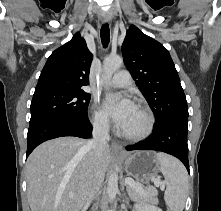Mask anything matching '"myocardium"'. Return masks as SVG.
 <instances>
[{
	"label": "myocardium",
	"mask_w": 221,
	"mask_h": 211,
	"mask_svg": "<svg viewBox=\"0 0 221 211\" xmlns=\"http://www.w3.org/2000/svg\"><path fill=\"white\" fill-rule=\"evenodd\" d=\"M135 106L139 108L146 116V126L144 130L138 134H128L121 130L120 135L129 141L138 142L146 139L151 135L154 129L155 118L152 111L142 103H136Z\"/></svg>",
	"instance_id": "myocardium-1"
}]
</instances>
